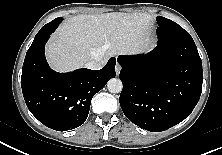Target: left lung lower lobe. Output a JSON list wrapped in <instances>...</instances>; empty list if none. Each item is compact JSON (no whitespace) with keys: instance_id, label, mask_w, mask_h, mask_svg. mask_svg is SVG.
I'll return each mask as SVG.
<instances>
[{"instance_id":"obj_1","label":"left lung lower lobe","mask_w":222,"mask_h":155,"mask_svg":"<svg viewBox=\"0 0 222 155\" xmlns=\"http://www.w3.org/2000/svg\"><path fill=\"white\" fill-rule=\"evenodd\" d=\"M120 105L135 125L164 131L192 112L202 92V61L192 38H159L148 54L119 56Z\"/></svg>"}]
</instances>
